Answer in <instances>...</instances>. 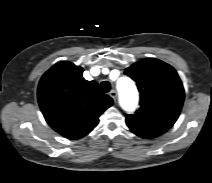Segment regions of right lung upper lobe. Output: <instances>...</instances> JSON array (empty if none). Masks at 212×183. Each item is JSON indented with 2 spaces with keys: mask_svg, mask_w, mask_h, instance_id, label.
<instances>
[{
  "mask_svg": "<svg viewBox=\"0 0 212 183\" xmlns=\"http://www.w3.org/2000/svg\"><path fill=\"white\" fill-rule=\"evenodd\" d=\"M83 69L68 61L50 68L38 86V102L48 124L69 139L81 138L98 124L99 116L113 104Z\"/></svg>",
  "mask_w": 212,
  "mask_h": 183,
  "instance_id": "1",
  "label": "right lung upper lobe"
}]
</instances>
